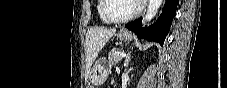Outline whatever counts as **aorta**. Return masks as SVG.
I'll return each instance as SVG.
<instances>
[{
	"label": "aorta",
	"instance_id": "aorta-1",
	"mask_svg": "<svg viewBox=\"0 0 227 88\" xmlns=\"http://www.w3.org/2000/svg\"><path fill=\"white\" fill-rule=\"evenodd\" d=\"M163 0H150L146 15L143 19V24L146 25L149 23L157 14L160 6L162 5Z\"/></svg>",
	"mask_w": 227,
	"mask_h": 88
}]
</instances>
